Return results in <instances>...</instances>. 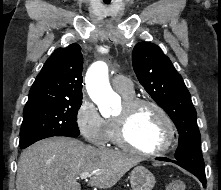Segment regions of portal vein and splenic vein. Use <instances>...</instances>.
I'll use <instances>...</instances> for the list:
<instances>
[{
  "label": "portal vein and splenic vein",
  "mask_w": 221,
  "mask_h": 190,
  "mask_svg": "<svg viewBox=\"0 0 221 190\" xmlns=\"http://www.w3.org/2000/svg\"><path fill=\"white\" fill-rule=\"evenodd\" d=\"M100 172L93 171V172H83L79 175L81 179H87L88 177H91L92 175H98Z\"/></svg>",
  "instance_id": "18ae733b"
}]
</instances>
